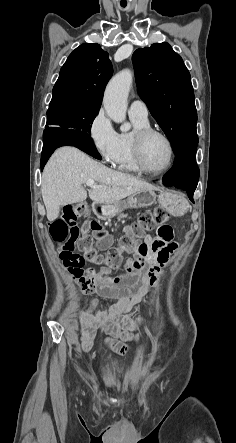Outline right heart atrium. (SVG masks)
<instances>
[{
  "instance_id": "d8ad5b80",
  "label": "right heart atrium",
  "mask_w": 236,
  "mask_h": 443,
  "mask_svg": "<svg viewBox=\"0 0 236 443\" xmlns=\"http://www.w3.org/2000/svg\"><path fill=\"white\" fill-rule=\"evenodd\" d=\"M87 133L100 157L108 164H115L120 154L119 134L104 109H99L92 117Z\"/></svg>"
}]
</instances>
